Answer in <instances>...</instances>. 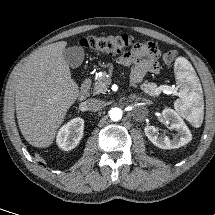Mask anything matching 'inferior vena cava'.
<instances>
[{
  "instance_id": "1",
  "label": "inferior vena cava",
  "mask_w": 215,
  "mask_h": 215,
  "mask_svg": "<svg viewBox=\"0 0 215 215\" xmlns=\"http://www.w3.org/2000/svg\"><path fill=\"white\" fill-rule=\"evenodd\" d=\"M85 107L89 111L97 112L104 107V102L95 98L87 99L85 101Z\"/></svg>"
}]
</instances>
